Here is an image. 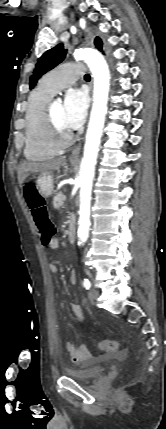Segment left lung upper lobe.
<instances>
[{
    "instance_id": "obj_1",
    "label": "left lung upper lobe",
    "mask_w": 166,
    "mask_h": 429,
    "mask_svg": "<svg viewBox=\"0 0 166 429\" xmlns=\"http://www.w3.org/2000/svg\"><path fill=\"white\" fill-rule=\"evenodd\" d=\"M94 44L99 51H102V41L99 37L95 38ZM66 54L67 50L64 49L63 44L61 43L46 51L38 59L33 74L30 77V88L32 89L36 85L42 75L61 63L64 60Z\"/></svg>"
}]
</instances>
